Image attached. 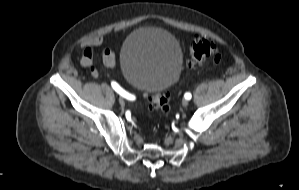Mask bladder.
I'll list each match as a JSON object with an SVG mask.
<instances>
[{
    "label": "bladder",
    "mask_w": 299,
    "mask_h": 190,
    "mask_svg": "<svg viewBox=\"0 0 299 190\" xmlns=\"http://www.w3.org/2000/svg\"><path fill=\"white\" fill-rule=\"evenodd\" d=\"M120 68L134 87L157 94L179 78L183 56L176 38L159 28H139L124 41Z\"/></svg>",
    "instance_id": "31cf9c89"
}]
</instances>
